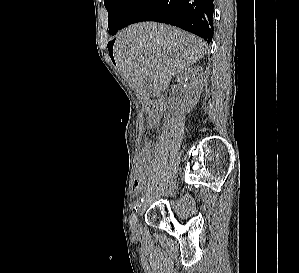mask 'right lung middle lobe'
<instances>
[{
    "instance_id": "dd1d6c3e",
    "label": "right lung middle lobe",
    "mask_w": 299,
    "mask_h": 273,
    "mask_svg": "<svg viewBox=\"0 0 299 273\" xmlns=\"http://www.w3.org/2000/svg\"><path fill=\"white\" fill-rule=\"evenodd\" d=\"M134 0H104L108 11V28L111 35H115L120 29L122 20Z\"/></svg>"
}]
</instances>
